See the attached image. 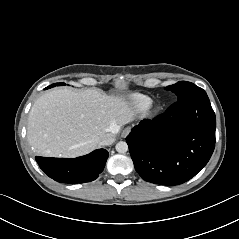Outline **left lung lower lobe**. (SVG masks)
<instances>
[{
	"mask_svg": "<svg viewBox=\"0 0 239 239\" xmlns=\"http://www.w3.org/2000/svg\"><path fill=\"white\" fill-rule=\"evenodd\" d=\"M216 118L206 92L144 119L126 138L134 167L146 181L178 185L194 177L215 147Z\"/></svg>",
	"mask_w": 239,
	"mask_h": 239,
	"instance_id": "0a47b994",
	"label": "left lung lower lobe"
}]
</instances>
